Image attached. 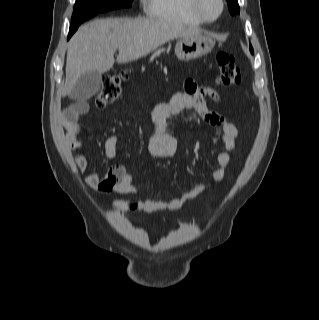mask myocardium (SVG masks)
<instances>
[{"mask_svg": "<svg viewBox=\"0 0 319 320\" xmlns=\"http://www.w3.org/2000/svg\"><path fill=\"white\" fill-rule=\"evenodd\" d=\"M220 4L219 12L216 16L210 18L208 17L205 12L202 10L201 7V0H189V7L194 14V16L202 21L203 23H213L216 22L223 14L225 10V1L224 0H218Z\"/></svg>", "mask_w": 319, "mask_h": 320, "instance_id": "obj_1", "label": "myocardium"}]
</instances>
